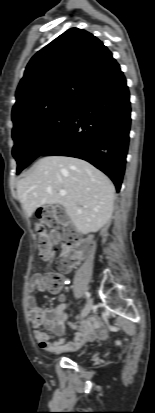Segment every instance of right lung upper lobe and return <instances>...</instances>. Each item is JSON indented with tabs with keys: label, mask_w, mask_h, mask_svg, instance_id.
Segmentation results:
<instances>
[{
	"label": "right lung upper lobe",
	"mask_w": 155,
	"mask_h": 413,
	"mask_svg": "<svg viewBox=\"0 0 155 413\" xmlns=\"http://www.w3.org/2000/svg\"><path fill=\"white\" fill-rule=\"evenodd\" d=\"M118 69L112 53L97 37L78 28L67 30L28 63L16 91L14 128L56 107L76 103Z\"/></svg>",
	"instance_id": "1"
}]
</instances>
